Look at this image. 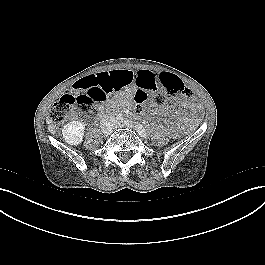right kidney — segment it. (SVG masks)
Wrapping results in <instances>:
<instances>
[{"label":"right kidney","mask_w":265,"mask_h":265,"mask_svg":"<svg viewBox=\"0 0 265 265\" xmlns=\"http://www.w3.org/2000/svg\"><path fill=\"white\" fill-rule=\"evenodd\" d=\"M85 125L80 121H72L62 129L63 138L70 145H79L83 141Z\"/></svg>","instance_id":"1"}]
</instances>
